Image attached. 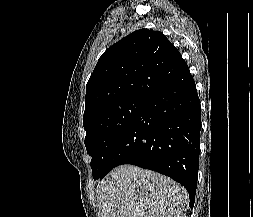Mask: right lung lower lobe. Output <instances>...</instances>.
<instances>
[{
    "label": "right lung lower lobe",
    "instance_id": "98d812e1",
    "mask_svg": "<svg viewBox=\"0 0 253 217\" xmlns=\"http://www.w3.org/2000/svg\"><path fill=\"white\" fill-rule=\"evenodd\" d=\"M200 130V101L186 65L148 99L115 144L99 179L122 164L151 169L181 183L189 193V206L193 208Z\"/></svg>",
    "mask_w": 253,
    "mask_h": 217
}]
</instances>
